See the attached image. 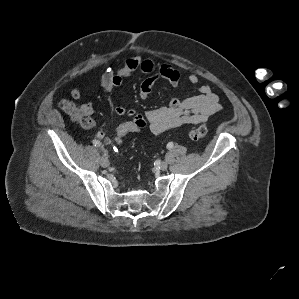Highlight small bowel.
Segmentation results:
<instances>
[{
  "label": "small bowel",
  "instance_id": "small-bowel-1",
  "mask_svg": "<svg viewBox=\"0 0 299 299\" xmlns=\"http://www.w3.org/2000/svg\"><path fill=\"white\" fill-rule=\"evenodd\" d=\"M136 72H141L147 76L140 86L139 95L142 100L148 97L158 80L165 79L174 86L178 85L180 81L179 72L173 69L171 65L166 63L157 65L151 60L143 59L141 56H133L128 58L120 69L105 73L101 77L100 85L106 93L111 94L115 87L120 86ZM187 81L191 84H197L198 76L190 74ZM71 96L78 100L81 98V91L74 88L71 91ZM82 107L88 115L93 114L94 109L90 103H85ZM220 110L219 97L212 91L210 86L202 85L196 95L185 98L173 97L167 106L151 109L143 114L124 106H116L114 113L118 116L126 115L130 119L141 123L143 128L148 127L153 134L158 135L183 125H195L204 122ZM94 127H96V123L92 120L91 125L87 128ZM97 137L103 139L107 145L112 143L111 139L101 130L97 131Z\"/></svg>",
  "mask_w": 299,
  "mask_h": 299
}]
</instances>
